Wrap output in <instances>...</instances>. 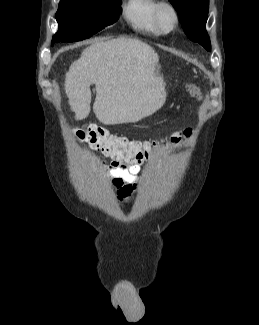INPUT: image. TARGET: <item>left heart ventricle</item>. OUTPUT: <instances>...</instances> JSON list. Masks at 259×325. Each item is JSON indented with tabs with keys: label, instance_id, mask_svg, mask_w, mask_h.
Returning <instances> with one entry per match:
<instances>
[{
	"label": "left heart ventricle",
	"instance_id": "left-heart-ventricle-1",
	"mask_svg": "<svg viewBox=\"0 0 259 325\" xmlns=\"http://www.w3.org/2000/svg\"><path fill=\"white\" fill-rule=\"evenodd\" d=\"M160 19H161L162 26L165 29H169L173 24V15L171 11L168 9H163L161 11Z\"/></svg>",
	"mask_w": 259,
	"mask_h": 325
}]
</instances>
